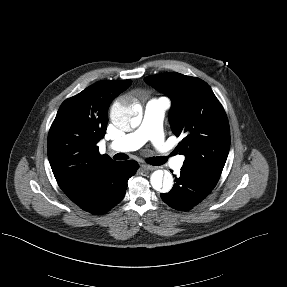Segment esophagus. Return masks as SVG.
Returning <instances> with one entry per match:
<instances>
[{
  "instance_id": "esophagus-1",
  "label": "esophagus",
  "mask_w": 287,
  "mask_h": 287,
  "mask_svg": "<svg viewBox=\"0 0 287 287\" xmlns=\"http://www.w3.org/2000/svg\"><path fill=\"white\" fill-rule=\"evenodd\" d=\"M141 167L144 169V170H155L156 167L155 166H152V165H149V164H142Z\"/></svg>"
}]
</instances>
